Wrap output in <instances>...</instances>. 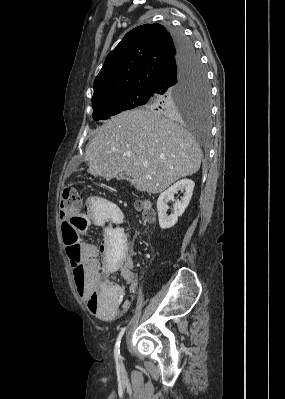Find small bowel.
Instances as JSON below:
<instances>
[{
	"label": "small bowel",
	"mask_w": 285,
	"mask_h": 399,
	"mask_svg": "<svg viewBox=\"0 0 285 399\" xmlns=\"http://www.w3.org/2000/svg\"><path fill=\"white\" fill-rule=\"evenodd\" d=\"M100 197H90L83 203V217L87 224L81 228L102 227L103 243L99 246L89 241L80 243V258L78 263L84 267L81 293L90 311L98 318L110 320L127 311L130 301L124 299L122 286L117 283L112 274L118 270L128 283L130 292L136 291L137 281L133 272V260L130 256L117 258L121 215ZM95 305V306H94Z\"/></svg>",
	"instance_id": "small-bowel-1"
}]
</instances>
